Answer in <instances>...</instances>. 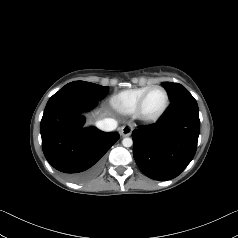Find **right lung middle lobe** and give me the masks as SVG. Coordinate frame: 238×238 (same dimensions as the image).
Masks as SVG:
<instances>
[{
    "instance_id": "dd1d6c3e",
    "label": "right lung middle lobe",
    "mask_w": 238,
    "mask_h": 238,
    "mask_svg": "<svg viewBox=\"0 0 238 238\" xmlns=\"http://www.w3.org/2000/svg\"><path fill=\"white\" fill-rule=\"evenodd\" d=\"M66 88H76L91 97L99 99L104 98L108 94V86H101L85 81H74L68 83L62 89Z\"/></svg>"
}]
</instances>
